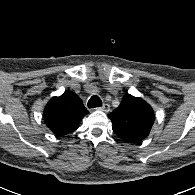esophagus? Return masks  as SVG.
<instances>
[{"label": "esophagus", "instance_id": "1", "mask_svg": "<svg viewBox=\"0 0 195 195\" xmlns=\"http://www.w3.org/2000/svg\"><path fill=\"white\" fill-rule=\"evenodd\" d=\"M96 109L104 111V112H108L110 110V105L109 104H103L101 107H97Z\"/></svg>", "mask_w": 195, "mask_h": 195}]
</instances>
